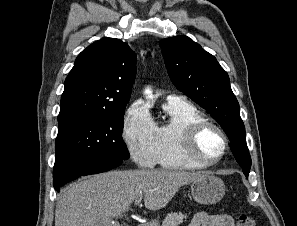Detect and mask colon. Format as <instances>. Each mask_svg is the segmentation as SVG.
<instances>
[{
  "label": "colon",
  "instance_id": "obj_1",
  "mask_svg": "<svg viewBox=\"0 0 297 226\" xmlns=\"http://www.w3.org/2000/svg\"><path fill=\"white\" fill-rule=\"evenodd\" d=\"M238 226H257V221L249 214H241L238 218Z\"/></svg>",
  "mask_w": 297,
  "mask_h": 226
}]
</instances>
